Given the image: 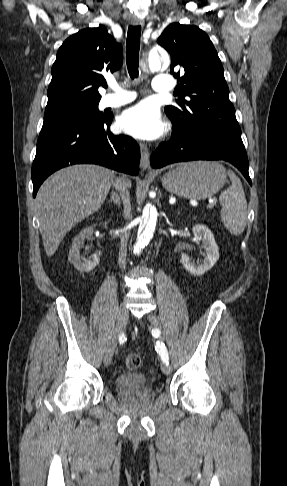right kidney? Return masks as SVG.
<instances>
[{
	"label": "right kidney",
	"instance_id": "ca27d5eb",
	"mask_svg": "<svg viewBox=\"0 0 287 486\" xmlns=\"http://www.w3.org/2000/svg\"><path fill=\"white\" fill-rule=\"evenodd\" d=\"M95 226L96 225H93L83 229L73 240L72 247L69 251L68 260L80 273L90 272L99 264L100 261L97 254H94L92 259L88 261L80 256V249L83 246L85 239H91Z\"/></svg>",
	"mask_w": 287,
	"mask_h": 486
}]
</instances>
